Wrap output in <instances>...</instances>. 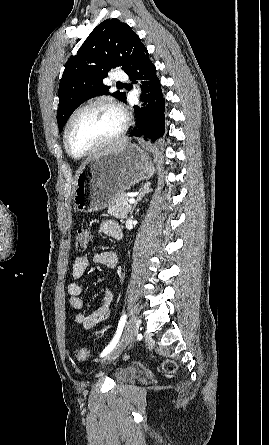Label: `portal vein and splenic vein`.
I'll return each mask as SVG.
<instances>
[{
  "instance_id": "obj_1",
  "label": "portal vein and splenic vein",
  "mask_w": 269,
  "mask_h": 445,
  "mask_svg": "<svg viewBox=\"0 0 269 445\" xmlns=\"http://www.w3.org/2000/svg\"><path fill=\"white\" fill-rule=\"evenodd\" d=\"M128 202H129V204H133V203H135V199H134V198H130V199L128 200Z\"/></svg>"
}]
</instances>
